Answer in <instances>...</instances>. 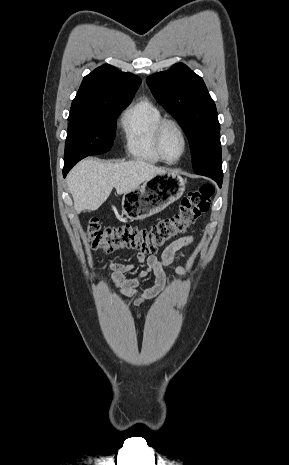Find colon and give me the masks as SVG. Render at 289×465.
<instances>
[{
	"instance_id": "obj_1",
	"label": "colon",
	"mask_w": 289,
	"mask_h": 465,
	"mask_svg": "<svg viewBox=\"0 0 289 465\" xmlns=\"http://www.w3.org/2000/svg\"><path fill=\"white\" fill-rule=\"evenodd\" d=\"M214 191L209 184L189 191L174 215L149 228L129 224L103 228L97 218H92L86 226L85 239L92 248L106 252L136 249L144 254H153L173 238L184 234L197 218L208 211Z\"/></svg>"
}]
</instances>
